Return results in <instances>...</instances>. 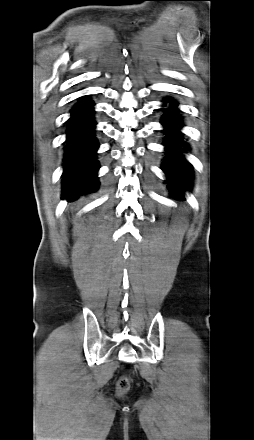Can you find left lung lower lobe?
<instances>
[{
    "label": "left lung lower lobe",
    "instance_id": "1",
    "mask_svg": "<svg viewBox=\"0 0 254 440\" xmlns=\"http://www.w3.org/2000/svg\"><path fill=\"white\" fill-rule=\"evenodd\" d=\"M169 103V107L164 111L161 121L164 126L166 137L165 145V161L162 165L163 171L167 176L168 188L171 195L177 199H183V191L190 188L189 179L191 178L192 167L188 163L182 152L188 149L183 144V137L180 132L182 127L180 118L177 114L178 104L172 99H165L164 106Z\"/></svg>",
    "mask_w": 254,
    "mask_h": 440
}]
</instances>
